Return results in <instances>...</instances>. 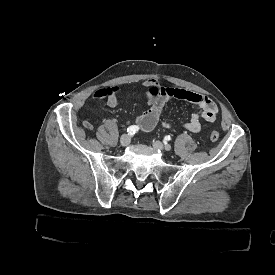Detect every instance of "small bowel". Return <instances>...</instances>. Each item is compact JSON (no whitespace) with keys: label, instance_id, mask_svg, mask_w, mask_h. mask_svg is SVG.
Masks as SVG:
<instances>
[{"label":"small bowel","instance_id":"obj_1","mask_svg":"<svg viewBox=\"0 0 275 275\" xmlns=\"http://www.w3.org/2000/svg\"><path fill=\"white\" fill-rule=\"evenodd\" d=\"M157 84L159 82L157 79H149L143 83L144 87H148L150 84ZM164 93L154 98L150 102L149 109L140 115H138L135 119L136 124L143 131H151L153 130L160 120V116L162 114L163 108L165 104L171 99H177L185 102L196 103L200 106L201 111L192 116V118L184 123L182 126L186 130L192 133H197L203 130L208 124L214 122L217 117L218 107L217 105L208 97L194 93L187 89L182 88H172L167 87L163 88ZM105 89L98 90L93 95L94 99H102L107 98L106 103L109 107L114 108L119 104V98L114 92L108 96L104 97ZM86 129H93L92 127H87L83 124ZM162 126L166 129L173 128V124L169 121H162Z\"/></svg>","mask_w":275,"mask_h":275}]
</instances>
